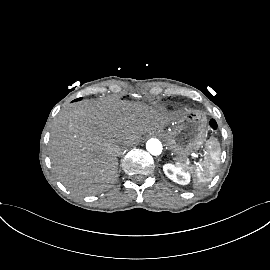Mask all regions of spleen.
Returning a JSON list of instances; mask_svg holds the SVG:
<instances>
[{
	"label": "spleen",
	"mask_w": 270,
	"mask_h": 270,
	"mask_svg": "<svg viewBox=\"0 0 270 270\" xmlns=\"http://www.w3.org/2000/svg\"><path fill=\"white\" fill-rule=\"evenodd\" d=\"M206 150L208 152V156L205 157L204 161L201 162L199 166H188V163H179L176 165L182 170L195 171L197 179L199 182L210 181L212 177V173L216 169L219 164V155H220V145L216 139H210L206 143Z\"/></svg>",
	"instance_id": "spleen-1"
}]
</instances>
